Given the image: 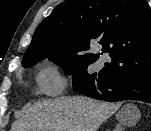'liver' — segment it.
Instances as JSON below:
<instances>
[{"label": "liver", "instance_id": "liver-1", "mask_svg": "<svg viewBox=\"0 0 151 131\" xmlns=\"http://www.w3.org/2000/svg\"><path fill=\"white\" fill-rule=\"evenodd\" d=\"M118 107L83 96L39 101L13 123L11 131H97ZM139 117V111L134 108L126 123L135 124Z\"/></svg>", "mask_w": 151, "mask_h": 131}]
</instances>
